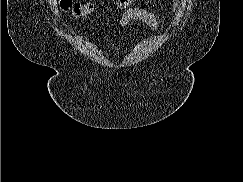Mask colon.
<instances>
[{"mask_svg": "<svg viewBox=\"0 0 243 182\" xmlns=\"http://www.w3.org/2000/svg\"><path fill=\"white\" fill-rule=\"evenodd\" d=\"M133 0H116L118 8H126ZM60 8L71 14L73 17H83L89 15L93 11V5L90 3H74L72 0H60Z\"/></svg>", "mask_w": 243, "mask_h": 182, "instance_id": "1", "label": "colon"}]
</instances>
